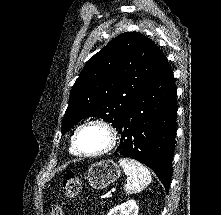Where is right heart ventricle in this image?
Masks as SVG:
<instances>
[{"mask_svg": "<svg viewBox=\"0 0 221 215\" xmlns=\"http://www.w3.org/2000/svg\"><path fill=\"white\" fill-rule=\"evenodd\" d=\"M69 150H70V153H71V154L77 155L76 152H75L74 149H73L72 143H71V145H70Z\"/></svg>", "mask_w": 221, "mask_h": 215, "instance_id": "e07e8e85", "label": "right heart ventricle"}]
</instances>
